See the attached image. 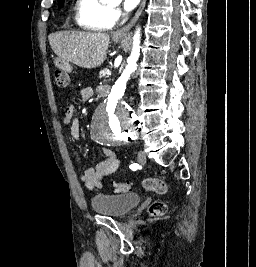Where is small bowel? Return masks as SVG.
Listing matches in <instances>:
<instances>
[{
	"label": "small bowel",
	"mask_w": 256,
	"mask_h": 267,
	"mask_svg": "<svg viewBox=\"0 0 256 267\" xmlns=\"http://www.w3.org/2000/svg\"><path fill=\"white\" fill-rule=\"evenodd\" d=\"M101 94L104 89H99ZM95 94L92 87H85L80 92V98L83 101L90 100ZM76 110L70 106L65 111V116L62 119L64 126L70 128L71 136L77 140H81L79 125L75 117ZM104 158L94 166H89L80 173V181L89 189H96L102 186L103 181L112 176L119 168L121 159L118 154L110 147L103 148Z\"/></svg>",
	"instance_id": "c3829d8e"
}]
</instances>
